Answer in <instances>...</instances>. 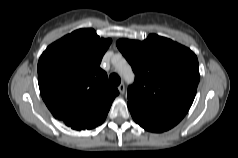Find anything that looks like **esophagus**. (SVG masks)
<instances>
[{
	"mask_svg": "<svg viewBox=\"0 0 238 158\" xmlns=\"http://www.w3.org/2000/svg\"><path fill=\"white\" fill-rule=\"evenodd\" d=\"M118 90H119L120 94H124L125 93V85L123 83H121L118 86Z\"/></svg>",
	"mask_w": 238,
	"mask_h": 158,
	"instance_id": "34e87169",
	"label": "esophagus"
}]
</instances>
